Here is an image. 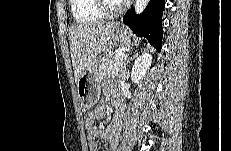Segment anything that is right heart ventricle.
Masks as SVG:
<instances>
[{
  "mask_svg": "<svg viewBox=\"0 0 231 151\" xmlns=\"http://www.w3.org/2000/svg\"><path fill=\"white\" fill-rule=\"evenodd\" d=\"M72 15L79 25H86L102 20L95 8V0H72Z\"/></svg>",
  "mask_w": 231,
  "mask_h": 151,
  "instance_id": "right-heart-ventricle-1",
  "label": "right heart ventricle"
}]
</instances>
